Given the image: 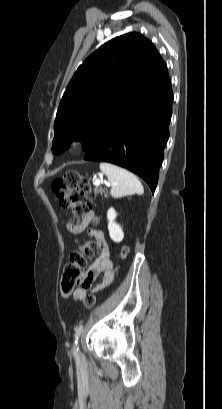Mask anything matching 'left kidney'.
Instances as JSON below:
<instances>
[{
	"label": "left kidney",
	"instance_id": "5707ae66",
	"mask_svg": "<svg viewBox=\"0 0 222 409\" xmlns=\"http://www.w3.org/2000/svg\"><path fill=\"white\" fill-rule=\"evenodd\" d=\"M117 214L114 208H110L107 212V219H108V230L110 238L114 242H121L124 238V233L121 227L115 222Z\"/></svg>",
	"mask_w": 222,
	"mask_h": 409
}]
</instances>
